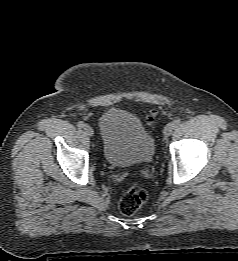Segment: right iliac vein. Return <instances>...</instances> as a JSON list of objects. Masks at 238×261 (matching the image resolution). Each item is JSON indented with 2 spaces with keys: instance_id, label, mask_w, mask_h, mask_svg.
<instances>
[{
  "instance_id": "right-iliac-vein-1",
  "label": "right iliac vein",
  "mask_w": 238,
  "mask_h": 261,
  "mask_svg": "<svg viewBox=\"0 0 238 261\" xmlns=\"http://www.w3.org/2000/svg\"><path fill=\"white\" fill-rule=\"evenodd\" d=\"M84 132L86 133V135H88L90 137L93 136V134H94L92 127L89 125L84 126Z\"/></svg>"
}]
</instances>
